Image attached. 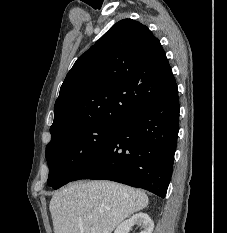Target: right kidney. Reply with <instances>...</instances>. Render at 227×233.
Masks as SVG:
<instances>
[{"label": "right kidney", "instance_id": "ca27d5eb", "mask_svg": "<svg viewBox=\"0 0 227 233\" xmlns=\"http://www.w3.org/2000/svg\"><path fill=\"white\" fill-rule=\"evenodd\" d=\"M135 224L141 227L142 230L140 233H152L154 228V223L148 214L139 212L122 222L114 233H128L130 228Z\"/></svg>", "mask_w": 227, "mask_h": 233}]
</instances>
